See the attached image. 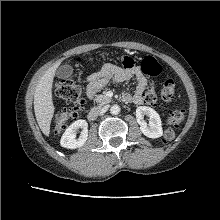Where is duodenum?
<instances>
[{"label": "duodenum", "mask_w": 220, "mask_h": 220, "mask_svg": "<svg viewBox=\"0 0 220 220\" xmlns=\"http://www.w3.org/2000/svg\"><path fill=\"white\" fill-rule=\"evenodd\" d=\"M99 113H100V108L98 107H95V108H92L89 112H88V119L91 120V121H94L98 118L99 116Z\"/></svg>", "instance_id": "duodenum-1"}]
</instances>
